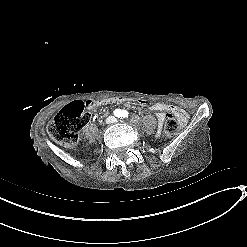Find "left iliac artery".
<instances>
[{
    "label": "left iliac artery",
    "instance_id": "1",
    "mask_svg": "<svg viewBox=\"0 0 247 247\" xmlns=\"http://www.w3.org/2000/svg\"><path fill=\"white\" fill-rule=\"evenodd\" d=\"M126 117H128V112L126 110H122L121 118H126Z\"/></svg>",
    "mask_w": 247,
    "mask_h": 247
}]
</instances>
